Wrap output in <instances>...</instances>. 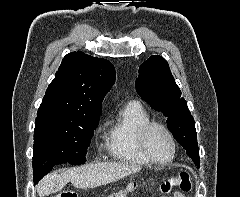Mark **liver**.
I'll list each match as a JSON object with an SVG mask.
<instances>
[{"label": "liver", "mask_w": 240, "mask_h": 197, "mask_svg": "<svg viewBox=\"0 0 240 197\" xmlns=\"http://www.w3.org/2000/svg\"><path fill=\"white\" fill-rule=\"evenodd\" d=\"M138 165L122 163H89L84 166L55 171L47 174L37 185L40 197L61 191L68 182L76 188H95L130 174L139 172Z\"/></svg>", "instance_id": "obj_1"}]
</instances>
